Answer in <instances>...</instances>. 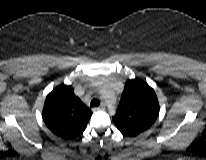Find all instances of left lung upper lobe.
Masks as SVG:
<instances>
[{
  "mask_svg": "<svg viewBox=\"0 0 206 160\" xmlns=\"http://www.w3.org/2000/svg\"><path fill=\"white\" fill-rule=\"evenodd\" d=\"M159 114L155 91L141 79L127 80L113 121L127 136H136L149 129Z\"/></svg>",
  "mask_w": 206,
  "mask_h": 160,
  "instance_id": "1",
  "label": "left lung upper lobe"
}]
</instances>
